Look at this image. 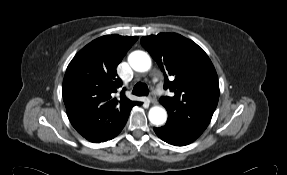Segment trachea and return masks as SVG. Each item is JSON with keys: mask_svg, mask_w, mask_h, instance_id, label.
<instances>
[{"mask_svg": "<svg viewBox=\"0 0 287 175\" xmlns=\"http://www.w3.org/2000/svg\"><path fill=\"white\" fill-rule=\"evenodd\" d=\"M132 94L136 96H147L149 94L147 85L145 83L138 82L134 86Z\"/></svg>", "mask_w": 287, "mask_h": 175, "instance_id": "1", "label": "trachea"}]
</instances>
